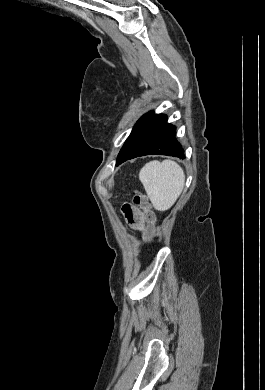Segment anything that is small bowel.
I'll return each mask as SVG.
<instances>
[{"instance_id":"obj_1","label":"small bowel","mask_w":265,"mask_h":390,"mask_svg":"<svg viewBox=\"0 0 265 390\" xmlns=\"http://www.w3.org/2000/svg\"><path fill=\"white\" fill-rule=\"evenodd\" d=\"M122 210L126 220L134 229L142 231L144 234L149 231V225L146 224L144 215L139 209L127 203Z\"/></svg>"}]
</instances>
